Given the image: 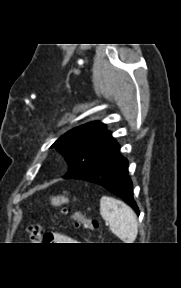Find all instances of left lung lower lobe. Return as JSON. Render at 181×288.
<instances>
[{
	"label": "left lung lower lobe",
	"instance_id": "obj_1",
	"mask_svg": "<svg viewBox=\"0 0 181 288\" xmlns=\"http://www.w3.org/2000/svg\"><path fill=\"white\" fill-rule=\"evenodd\" d=\"M96 183L123 199L139 215L133 197L132 181L128 174V161L120 155V146L91 173L81 178Z\"/></svg>",
	"mask_w": 181,
	"mask_h": 288
}]
</instances>
